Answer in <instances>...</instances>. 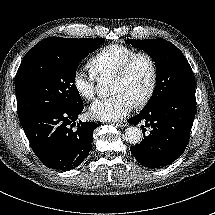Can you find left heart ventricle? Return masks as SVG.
<instances>
[{"label":"left heart ventricle","mask_w":215,"mask_h":215,"mask_svg":"<svg viewBox=\"0 0 215 215\" xmlns=\"http://www.w3.org/2000/svg\"><path fill=\"white\" fill-rule=\"evenodd\" d=\"M149 79L150 69L148 63L143 58H138L133 62L126 76L112 78L111 93H123L135 103L145 94Z\"/></svg>","instance_id":"obj_1"}]
</instances>
